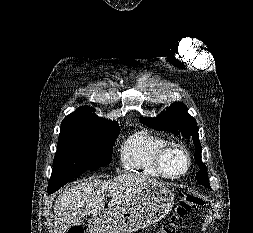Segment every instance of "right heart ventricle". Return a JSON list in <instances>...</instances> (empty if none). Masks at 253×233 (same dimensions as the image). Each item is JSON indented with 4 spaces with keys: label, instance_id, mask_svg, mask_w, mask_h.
Listing matches in <instances>:
<instances>
[{
    "label": "right heart ventricle",
    "instance_id": "1",
    "mask_svg": "<svg viewBox=\"0 0 253 233\" xmlns=\"http://www.w3.org/2000/svg\"><path fill=\"white\" fill-rule=\"evenodd\" d=\"M168 145L166 139L148 129L137 130L123 140L119 150L120 163L127 171L162 177L155 165V157Z\"/></svg>",
    "mask_w": 253,
    "mask_h": 233
}]
</instances>
